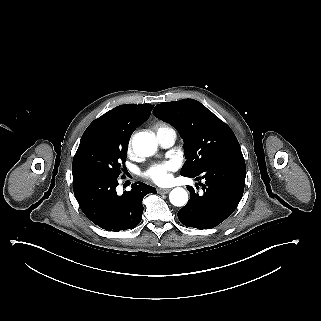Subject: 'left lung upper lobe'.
I'll return each instance as SVG.
<instances>
[{
    "mask_svg": "<svg viewBox=\"0 0 321 321\" xmlns=\"http://www.w3.org/2000/svg\"><path fill=\"white\" fill-rule=\"evenodd\" d=\"M154 114L174 126L184 140L182 176L194 175L214 160L242 154L230 127L196 100L161 103Z\"/></svg>",
    "mask_w": 321,
    "mask_h": 321,
    "instance_id": "5c2ea615",
    "label": "left lung upper lobe"
}]
</instances>
